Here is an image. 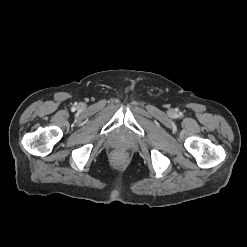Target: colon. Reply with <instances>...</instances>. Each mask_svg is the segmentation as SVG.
<instances>
[{"mask_svg":"<svg viewBox=\"0 0 247 247\" xmlns=\"http://www.w3.org/2000/svg\"><path fill=\"white\" fill-rule=\"evenodd\" d=\"M121 155L120 154H116L115 156H114V159L116 160V161H120L121 160Z\"/></svg>","mask_w":247,"mask_h":247,"instance_id":"colon-1","label":"colon"}]
</instances>
